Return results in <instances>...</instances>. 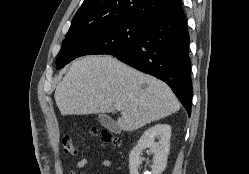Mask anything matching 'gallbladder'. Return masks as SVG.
I'll list each match as a JSON object with an SVG mask.
<instances>
[{
	"instance_id": "1",
	"label": "gallbladder",
	"mask_w": 249,
	"mask_h": 174,
	"mask_svg": "<svg viewBox=\"0 0 249 174\" xmlns=\"http://www.w3.org/2000/svg\"><path fill=\"white\" fill-rule=\"evenodd\" d=\"M98 120L101 125L108 128L109 130L113 132L120 131V127L117 125V123L112 118L108 117L107 115H104V114L99 115Z\"/></svg>"
}]
</instances>
